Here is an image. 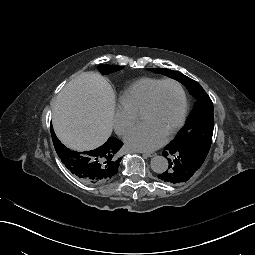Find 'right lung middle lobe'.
Listing matches in <instances>:
<instances>
[{"label":"right lung middle lobe","mask_w":255,"mask_h":255,"mask_svg":"<svg viewBox=\"0 0 255 255\" xmlns=\"http://www.w3.org/2000/svg\"><path fill=\"white\" fill-rule=\"evenodd\" d=\"M121 69H123V66H118V65H99L98 66V70L104 75L121 70Z\"/></svg>","instance_id":"1"}]
</instances>
